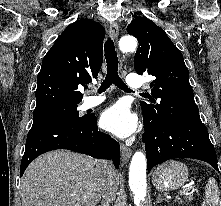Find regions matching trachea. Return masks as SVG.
Returning a JSON list of instances; mask_svg holds the SVG:
<instances>
[{"label":"trachea","instance_id":"trachea-1","mask_svg":"<svg viewBox=\"0 0 221 206\" xmlns=\"http://www.w3.org/2000/svg\"><path fill=\"white\" fill-rule=\"evenodd\" d=\"M105 59L107 63V75L102 82L99 93L106 91L112 84L124 91H131L118 75V57L115 51L114 42L108 38L104 45Z\"/></svg>","mask_w":221,"mask_h":206}]
</instances>
